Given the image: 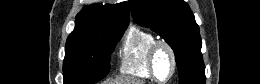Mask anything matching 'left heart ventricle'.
<instances>
[{
  "instance_id": "b2bd125f",
  "label": "left heart ventricle",
  "mask_w": 260,
  "mask_h": 84,
  "mask_svg": "<svg viewBox=\"0 0 260 84\" xmlns=\"http://www.w3.org/2000/svg\"><path fill=\"white\" fill-rule=\"evenodd\" d=\"M156 74L159 79H165L171 71V58L166 49H161L155 59Z\"/></svg>"
}]
</instances>
